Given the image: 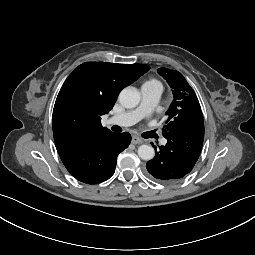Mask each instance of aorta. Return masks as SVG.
<instances>
[{
  "label": "aorta",
  "mask_w": 255,
  "mask_h": 255,
  "mask_svg": "<svg viewBox=\"0 0 255 255\" xmlns=\"http://www.w3.org/2000/svg\"><path fill=\"white\" fill-rule=\"evenodd\" d=\"M119 102L125 108H134L140 102V93L134 87H126L119 94ZM138 155L143 160H151L155 155L154 148L150 145H141L138 148Z\"/></svg>",
  "instance_id": "762f6f07"
}]
</instances>
